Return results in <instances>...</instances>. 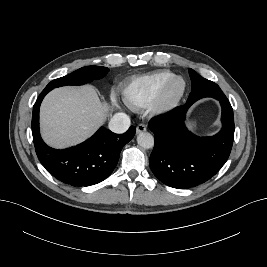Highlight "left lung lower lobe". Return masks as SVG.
<instances>
[{"instance_id": "0a47b994", "label": "left lung lower lobe", "mask_w": 267, "mask_h": 267, "mask_svg": "<svg viewBox=\"0 0 267 267\" xmlns=\"http://www.w3.org/2000/svg\"><path fill=\"white\" fill-rule=\"evenodd\" d=\"M204 97L217 99L222 107V129L211 137H198L185 126L189 107ZM149 128L155 135L149 165L167 186L188 189L212 178L227 161L234 138L233 109L224 94L213 89L189 96L187 102L171 112L152 118Z\"/></svg>"}]
</instances>
